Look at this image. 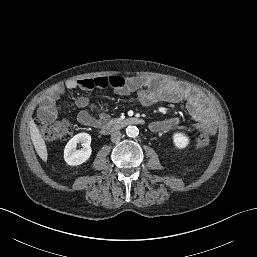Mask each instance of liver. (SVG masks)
<instances>
[{"mask_svg":"<svg viewBox=\"0 0 257 257\" xmlns=\"http://www.w3.org/2000/svg\"><path fill=\"white\" fill-rule=\"evenodd\" d=\"M29 127H30L31 140L35 147V150H36L37 154L39 155V157L44 162H46L47 158H48L47 147H46L45 141H44L42 135L40 134V131L33 119L30 120Z\"/></svg>","mask_w":257,"mask_h":257,"instance_id":"1","label":"liver"}]
</instances>
